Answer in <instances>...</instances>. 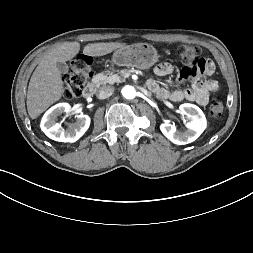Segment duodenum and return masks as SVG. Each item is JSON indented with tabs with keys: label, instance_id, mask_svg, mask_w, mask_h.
<instances>
[{
	"label": "duodenum",
	"instance_id": "410a0bca",
	"mask_svg": "<svg viewBox=\"0 0 253 253\" xmlns=\"http://www.w3.org/2000/svg\"><path fill=\"white\" fill-rule=\"evenodd\" d=\"M98 85H99L98 81H93L89 83L83 91V96L87 99L92 98L96 93Z\"/></svg>",
	"mask_w": 253,
	"mask_h": 253
}]
</instances>
